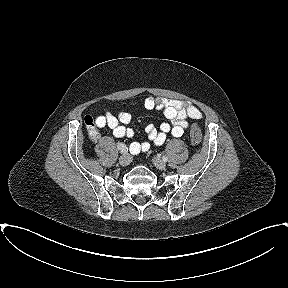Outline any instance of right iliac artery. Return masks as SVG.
<instances>
[{"mask_svg":"<svg viewBox=\"0 0 288 288\" xmlns=\"http://www.w3.org/2000/svg\"><path fill=\"white\" fill-rule=\"evenodd\" d=\"M117 148L120 150V152L123 150H128V148L123 143H117Z\"/></svg>","mask_w":288,"mask_h":288,"instance_id":"right-iliac-artery-1","label":"right iliac artery"}]
</instances>
